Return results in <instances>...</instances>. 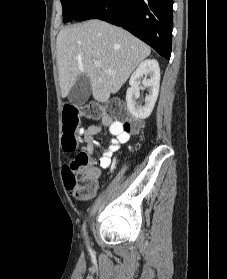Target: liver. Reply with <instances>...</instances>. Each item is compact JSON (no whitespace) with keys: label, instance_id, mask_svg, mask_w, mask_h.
<instances>
[{"label":"liver","instance_id":"liver-1","mask_svg":"<svg viewBox=\"0 0 227 279\" xmlns=\"http://www.w3.org/2000/svg\"><path fill=\"white\" fill-rule=\"evenodd\" d=\"M56 53L62 97L85 74L90 79L93 98L105 103L151 50L128 31L94 19L62 29L57 35ZM94 61H100L102 66L96 67Z\"/></svg>","mask_w":227,"mask_h":279}]
</instances>
